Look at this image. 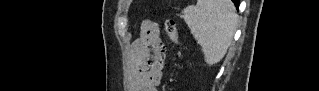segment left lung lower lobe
Listing matches in <instances>:
<instances>
[{"mask_svg": "<svg viewBox=\"0 0 319 91\" xmlns=\"http://www.w3.org/2000/svg\"><path fill=\"white\" fill-rule=\"evenodd\" d=\"M232 2L235 4L236 8L238 9V7H239V0H232Z\"/></svg>", "mask_w": 319, "mask_h": 91, "instance_id": "left-lung-lower-lobe-1", "label": "left lung lower lobe"}]
</instances>
